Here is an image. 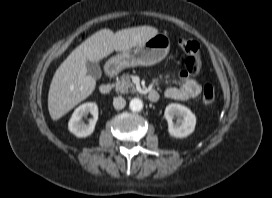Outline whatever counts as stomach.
Segmentation results:
<instances>
[{
	"instance_id": "1",
	"label": "stomach",
	"mask_w": 272,
	"mask_h": 198,
	"mask_svg": "<svg viewBox=\"0 0 272 198\" xmlns=\"http://www.w3.org/2000/svg\"><path fill=\"white\" fill-rule=\"evenodd\" d=\"M170 43L166 34H158L133 50L111 57L106 62L105 69L109 73H117L129 67L155 65L167 56Z\"/></svg>"
}]
</instances>
